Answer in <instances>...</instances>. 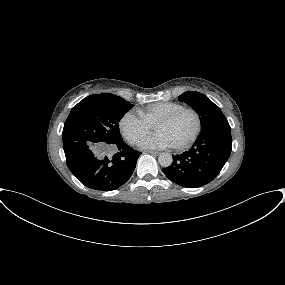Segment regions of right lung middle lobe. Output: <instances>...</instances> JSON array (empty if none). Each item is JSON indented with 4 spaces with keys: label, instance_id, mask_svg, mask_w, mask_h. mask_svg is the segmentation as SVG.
Segmentation results:
<instances>
[{
    "label": "right lung middle lobe",
    "instance_id": "dd1d6c3e",
    "mask_svg": "<svg viewBox=\"0 0 285 285\" xmlns=\"http://www.w3.org/2000/svg\"><path fill=\"white\" fill-rule=\"evenodd\" d=\"M123 98L110 94H94L75 105L63 128V144L88 141L112 144L121 141L119 121L133 107Z\"/></svg>",
    "mask_w": 285,
    "mask_h": 285
}]
</instances>
